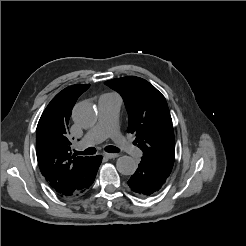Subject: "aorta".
Returning a JSON list of instances; mask_svg holds the SVG:
<instances>
[{
    "mask_svg": "<svg viewBox=\"0 0 246 246\" xmlns=\"http://www.w3.org/2000/svg\"><path fill=\"white\" fill-rule=\"evenodd\" d=\"M72 117L81 127H91L97 120V113L92 103L80 102L75 105ZM116 167L119 173L132 175L137 169V164L132 157L124 155L117 159Z\"/></svg>",
    "mask_w": 246,
    "mask_h": 246,
    "instance_id": "762f6f07",
    "label": "aorta"
}]
</instances>
